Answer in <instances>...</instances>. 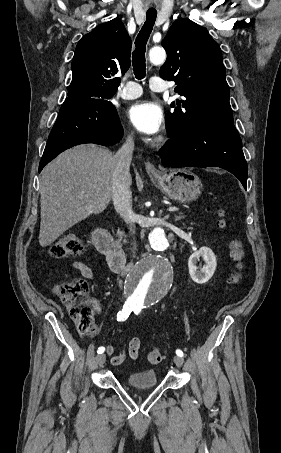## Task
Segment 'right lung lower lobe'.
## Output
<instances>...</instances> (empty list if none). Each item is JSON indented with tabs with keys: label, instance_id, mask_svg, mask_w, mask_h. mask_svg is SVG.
I'll use <instances>...</instances> for the list:
<instances>
[{
	"label": "right lung lower lobe",
	"instance_id": "right-lung-lower-lobe-1",
	"mask_svg": "<svg viewBox=\"0 0 281 453\" xmlns=\"http://www.w3.org/2000/svg\"><path fill=\"white\" fill-rule=\"evenodd\" d=\"M123 136L117 110L108 101H65L49 135L39 172L58 154L72 146L117 143Z\"/></svg>",
	"mask_w": 281,
	"mask_h": 453
}]
</instances>
